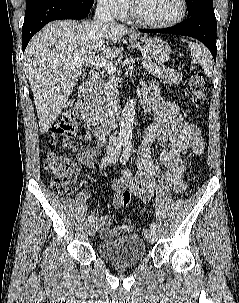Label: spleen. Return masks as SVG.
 <instances>
[{
  "mask_svg": "<svg viewBox=\"0 0 239 303\" xmlns=\"http://www.w3.org/2000/svg\"><path fill=\"white\" fill-rule=\"evenodd\" d=\"M182 41L187 42L191 56L198 61L205 74L211 77L213 73V60L207 48L194 41H186L184 39Z\"/></svg>",
  "mask_w": 239,
  "mask_h": 303,
  "instance_id": "1",
  "label": "spleen"
}]
</instances>
